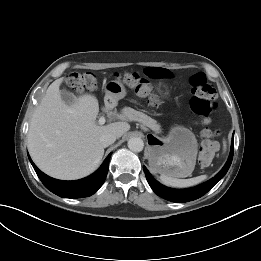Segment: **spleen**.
<instances>
[{"mask_svg":"<svg viewBox=\"0 0 261 261\" xmlns=\"http://www.w3.org/2000/svg\"><path fill=\"white\" fill-rule=\"evenodd\" d=\"M225 143H224V148H225ZM207 178L206 175H201V176H197L194 178H190V179H177V178H173L167 175H161L160 179L161 181L170 187H176V188H185V187H190V186H194L196 184L201 183L202 181H204Z\"/></svg>","mask_w":261,"mask_h":261,"instance_id":"spleen-1","label":"spleen"}]
</instances>
